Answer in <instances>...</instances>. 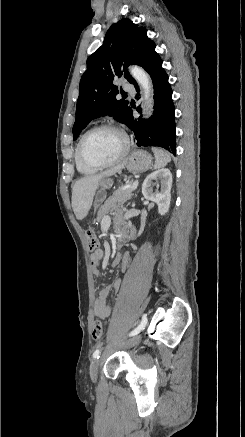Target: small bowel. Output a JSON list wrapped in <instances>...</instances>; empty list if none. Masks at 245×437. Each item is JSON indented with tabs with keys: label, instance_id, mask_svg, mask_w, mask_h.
Wrapping results in <instances>:
<instances>
[{
	"label": "small bowel",
	"instance_id": "1",
	"mask_svg": "<svg viewBox=\"0 0 245 437\" xmlns=\"http://www.w3.org/2000/svg\"><path fill=\"white\" fill-rule=\"evenodd\" d=\"M119 230L123 231L125 234L126 239L128 238H132L134 237V231L126 226L123 225H119L118 226ZM129 253H126L123 257L121 255H117L115 257V262L116 265L119 264V262L122 260V270L125 271L128 265V261H129ZM103 257V252L101 249H97L91 256V264L93 266L94 269V274L98 275V266L100 263L101 258ZM120 286V281L119 280H115L112 284L107 285L103 288L100 289L99 293H98V297L96 298L95 302H94V306H93V312L95 314V316L101 318V319H107L109 318L110 314H111V308L108 304V296L109 293L112 290H117Z\"/></svg>",
	"mask_w": 245,
	"mask_h": 437
}]
</instances>
